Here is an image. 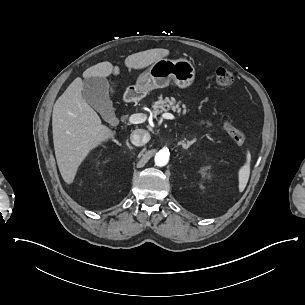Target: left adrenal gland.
Returning <instances> with one entry per match:
<instances>
[{
    "label": "left adrenal gland",
    "instance_id": "a2214340",
    "mask_svg": "<svg viewBox=\"0 0 305 305\" xmlns=\"http://www.w3.org/2000/svg\"><path fill=\"white\" fill-rule=\"evenodd\" d=\"M195 141L191 140V141H187V143H185V141H182V147L184 149H188Z\"/></svg>",
    "mask_w": 305,
    "mask_h": 305
}]
</instances>
